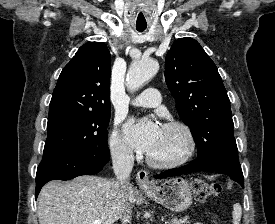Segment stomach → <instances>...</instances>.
Returning a JSON list of instances; mask_svg holds the SVG:
<instances>
[{"label":"stomach","instance_id":"stomach-1","mask_svg":"<svg viewBox=\"0 0 275 224\" xmlns=\"http://www.w3.org/2000/svg\"><path fill=\"white\" fill-rule=\"evenodd\" d=\"M143 191L148 197L173 212H182L192 204L191 185L183 178H171Z\"/></svg>","mask_w":275,"mask_h":224}]
</instances>
